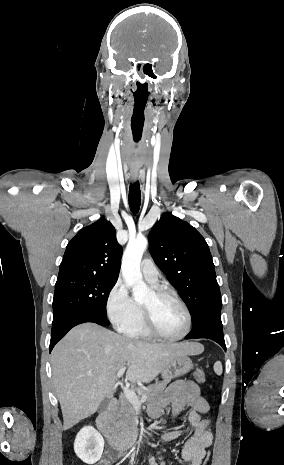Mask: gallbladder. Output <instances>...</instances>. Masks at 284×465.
<instances>
[{"mask_svg": "<svg viewBox=\"0 0 284 465\" xmlns=\"http://www.w3.org/2000/svg\"><path fill=\"white\" fill-rule=\"evenodd\" d=\"M109 401H110V399H104V401H102V403H100V407L98 409L99 413H102V411H106Z\"/></svg>", "mask_w": 284, "mask_h": 465, "instance_id": "bac80fb5", "label": "gallbladder"}]
</instances>
